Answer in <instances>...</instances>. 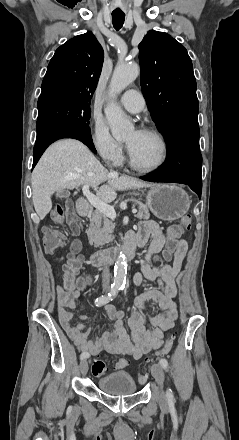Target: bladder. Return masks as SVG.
Masks as SVG:
<instances>
[{"label":"bladder","mask_w":239,"mask_h":440,"mask_svg":"<svg viewBox=\"0 0 239 440\" xmlns=\"http://www.w3.org/2000/svg\"><path fill=\"white\" fill-rule=\"evenodd\" d=\"M98 388L105 394L122 396L131 395L137 391L134 378L127 372H113L98 380Z\"/></svg>","instance_id":"1"}]
</instances>
